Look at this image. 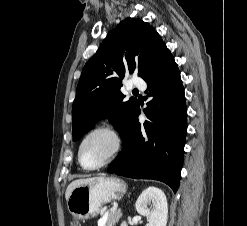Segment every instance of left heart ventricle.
Returning a JSON list of instances; mask_svg holds the SVG:
<instances>
[{
  "instance_id": "1",
  "label": "left heart ventricle",
  "mask_w": 247,
  "mask_h": 226,
  "mask_svg": "<svg viewBox=\"0 0 247 226\" xmlns=\"http://www.w3.org/2000/svg\"><path fill=\"white\" fill-rule=\"evenodd\" d=\"M113 139L106 133H97L89 137L82 149V159L85 165L95 166L103 162L111 153Z\"/></svg>"
}]
</instances>
